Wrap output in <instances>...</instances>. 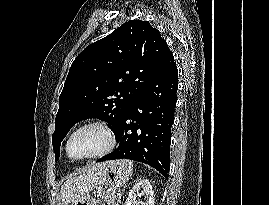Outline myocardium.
I'll use <instances>...</instances> for the list:
<instances>
[{"label": "myocardium", "instance_id": "obj_1", "mask_svg": "<svg viewBox=\"0 0 269 205\" xmlns=\"http://www.w3.org/2000/svg\"><path fill=\"white\" fill-rule=\"evenodd\" d=\"M88 127H98L100 128L106 135L107 137V146L92 155L86 156V157H75L74 155H72L71 153V141L72 138L74 137V135L76 133H78L80 130L88 128ZM117 144V139H116V135L112 129V127L110 126V124L103 120V119H90L87 120L85 122H83L82 124H80L79 126H77L69 135L68 139H67V143H66V152L69 158L76 160V161H87V160H92V159H97V158H101L103 156H106L107 154L111 153L114 148L116 147Z\"/></svg>", "mask_w": 269, "mask_h": 205}]
</instances>
